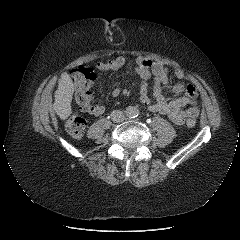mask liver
<instances>
[{
    "instance_id": "liver-1",
    "label": "liver",
    "mask_w": 240,
    "mask_h": 240,
    "mask_svg": "<svg viewBox=\"0 0 240 240\" xmlns=\"http://www.w3.org/2000/svg\"><path fill=\"white\" fill-rule=\"evenodd\" d=\"M74 85L70 76L64 72L58 80V89L55 91L53 109L61 119H67L72 113L71 102Z\"/></svg>"
}]
</instances>
